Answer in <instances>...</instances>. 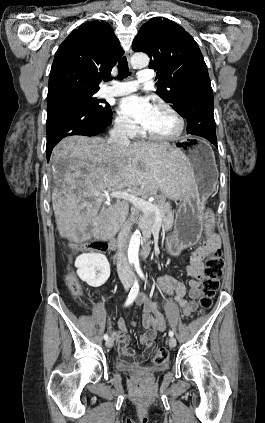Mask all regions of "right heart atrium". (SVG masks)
<instances>
[{
	"label": "right heart atrium",
	"instance_id": "1",
	"mask_svg": "<svg viewBox=\"0 0 265 423\" xmlns=\"http://www.w3.org/2000/svg\"><path fill=\"white\" fill-rule=\"evenodd\" d=\"M114 126L117 132L130 138L135 137L139 131L138 127L132 121L122 116L115 118Z\"/></svg>",
	"mask_w": 265,
	"mask_h": 423
}]
</instances>
